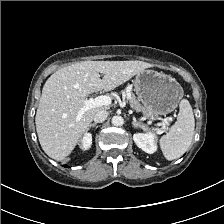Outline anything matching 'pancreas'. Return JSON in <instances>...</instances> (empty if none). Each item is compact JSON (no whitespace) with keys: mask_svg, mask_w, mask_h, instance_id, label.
<instances>
[{"mask_svg":"<svg viewBox=\"0 0 224 224\" xmlns=\"http://www.w3.org/2000/svg\"><path fill=\"white\" fill-rule=\"evenodd\" d=\"M123 96H127V89L121 92ZM129 103L130 105L137 111H140L141 109H143V107L141 106V104L139 103V101L136 99V96L131 93L130 96L128 97Z\"/></svg>","mask_w":224,"mask_h":224,"instance_id":"cf45deb5","label":"pancreas"}]
</instances>
